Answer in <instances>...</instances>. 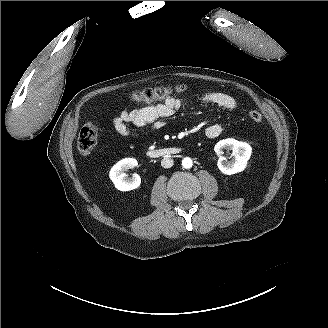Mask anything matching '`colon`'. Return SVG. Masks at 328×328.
<instances>
[{
	"label": "colon",
	"mask_w": 328,
	"mask_h": 328,
	"mask_svg": "<svg viewBox=\"0 0 328 328\" xmlns=\"http://www.w3.org/2000/svg\"><path fill=\"white\" fill-rule=\"evenodd\" d=\"M186 90L184 85H178L172 87H159L155 89H146L137 93H134L131 98L134 102L152 104L162 100H166L173 93H180ZM249 117L252 121L259 123L263 120V116L260 112L252 110L249 113ZM98 130L93 123H86L80 130L77 138V148L80 153L84 155L90 154L97 142Z\"/></svg>",
	"instance_id": "obj_1"
}]
</instances>
